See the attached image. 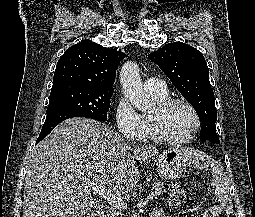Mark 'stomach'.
<instances>
[{
	"mask_svg": "<svg viewBox=\"0 0 255 217\" xmlns=\"http://www.w3.org/2000/svg\"><path fill=\"white\" fill-rule=\"evenodd\" d=\"M155 164L159 176L163 179H178L186 171L187 156L183 149L171 148L157 156Z\"/></svg>",
	"mask_w": 255,
	"mask_h": 217,
	"instance_id": "1",
	"label": "stomach"
}]
</instances>
